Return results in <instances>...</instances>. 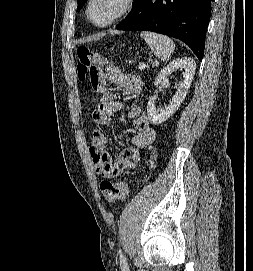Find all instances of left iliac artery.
I'll list each match as a JSON object with an SVG mask.
<instances>
[{"instance_id": "1", "label": "left iliac artery", "mask_w": 253, "mask_h": 271, "mask_svg": "<svg viewBox=\"0 0 253 271\" xmlns=\"http://www.w3.org/2000/svg\"><path fill=\"white\" fill-rule=\"evenodd\" d=\"M120 264H121L123 271H129L126 258L124 256V254L122 253V251H120Z\"/></svg>"}]
</instances>
